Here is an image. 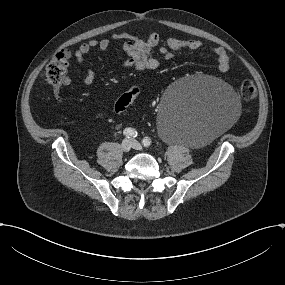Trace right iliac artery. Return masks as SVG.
<instances>
[{
  "label": "right iliac artery",
  "mask_w": 285,
  "mask_h": 285,
  "mask_svg": "<svg viewBox=\"0 0 285 285\" xmlns=\"http://www.w3.org/2000/svg\"><path fill=\"white\" fill-rule=\"evenodd\" d=\"M123 134L128 138H135L137 136V131L133 128H126Z\"/></svg>",
  "instance_id": "82829eb1"
}]
</instances>
